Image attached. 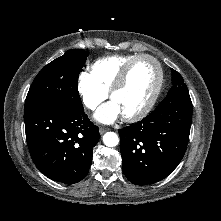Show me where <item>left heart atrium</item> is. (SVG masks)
<instances>
[{"label": "left heart atrium", "instance_id": "39dd6f15", "mask_svg": "<svg viewBox=\"0 0 221 221\" xmlns=\"http://www.w3.org/2000/svg\"><path fill=\"white\" fill-rule=\"evenodd\" d=\"M122 115L119 106L111 100L104 104L95 114V119L104 124H111Z\"/></svg>", "mask_w": 221, "mask_h": 221}]
</instances>
